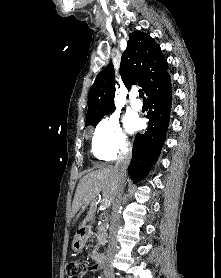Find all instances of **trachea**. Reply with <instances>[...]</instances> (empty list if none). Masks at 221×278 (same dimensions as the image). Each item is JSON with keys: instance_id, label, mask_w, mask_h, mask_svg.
I'll return each instance as SVG.
<instances>
[{"instance_id": "1", "label": "trachea", "mask_w": 221, "mask_h": 278, "mask_svg": "<svg viewBox=\"0 0 221 278\" xmlns=\"http://www.w3.org/2000/svg\"><path fill=\"white\" fill-rule=\"evenodd\" d=\"M139 97L143 98V100H146V98L144 97V92L143 90H139Z\"/></svg>"}]
</instances>
